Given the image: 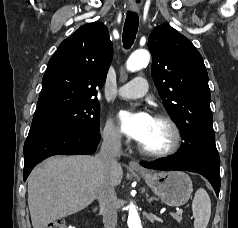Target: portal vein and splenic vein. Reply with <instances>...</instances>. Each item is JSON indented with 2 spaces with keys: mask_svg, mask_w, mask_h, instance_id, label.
I'll use <instances>...</instances> for the list:
<instances>
[{
  "mask_svg": "<svg viewBox=\"0 0 238 228\" xmlns=\"http://www.w3.org/2000/svg\"><path fill=\"white\" fill-rule=\"evenodd\" d=\"M182 210L180 209V210H178L175 214H182Z\"/></svg>",
  "mask_w": 238,
  "mask_h": 228,
  "instance_id": "portal-vein-and-splenic-vein-1",
  "label": "portal vein and splenic vein"
}]
</instances>
